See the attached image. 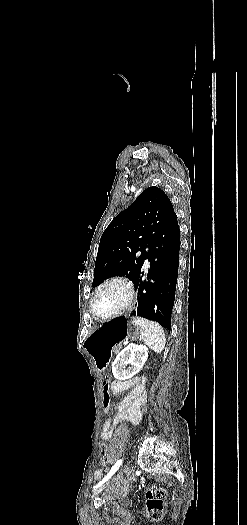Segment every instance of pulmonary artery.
Wrapping results in <instances>:
<instances>
[{
	"label": "pulmonary artery",
	"instance_id": "pulmonary-artery-1",
	"mask_svg": "<svg viewBox=\"0 0 247 525\" xmlns=\"http://www.w3.org/2000/svg\"><path fill=\"white\" fill-rule=\"evenodd\" d=\"M139 253V252H138ZM143 264L145 266H150L152 264V259L150 257H147V254H144Z\"/></svg>",
	"mask_w": 247,
	"mask_h": 525
}]
</instances>
